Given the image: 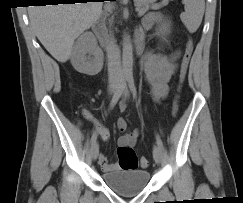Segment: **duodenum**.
<instances>
[{"label":"duodenum","mask_w":243,"mask_h":203,"mask_svg":"<svg viewBox=\"0 0 243 203\" xmlns=\"http://www.w3.org/2000/svg\"><path fill=\"white\" fill-rule=\"evenodd\" d=\"M92 31L96 35V37L100 40L103 41V35H104V19L100 18L98 19L92 26ZM137 53L141 54L142 53V45L140 43L137 44Z\"/></svg>","instance_id":"1"}]
</instances>
